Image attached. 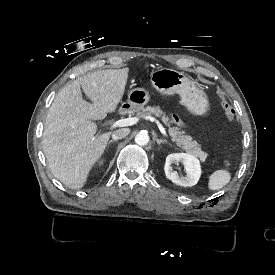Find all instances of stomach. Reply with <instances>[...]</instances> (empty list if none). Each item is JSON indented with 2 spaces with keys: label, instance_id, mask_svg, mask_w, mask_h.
<instances>
[{
  "label": "stomach",
  "instance_id": "stomach-1",
  "mask_svg": "<svg viewBox=\"0 0 275 275\" xmlns=\"http://www.w3.org/2000/svg\"><path fill=\"white\" fill-rule=\"evenodd\" d=\"M144 79L161 94H178L180 103L193 114L202 115L209 109V101L206 93L183 72L168 68H148L144 72ZM150 95L144 88H134L129 91L127 102L121 106V111L138 112L149 102Z\"/></svg>",
  "mask_w": 275,
  "mask_h": 275
}]
</instances>
